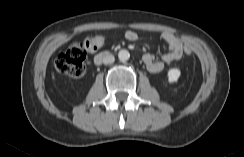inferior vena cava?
Listing matches in <instances>:
<instances>
[{
    "label": "inferior vena cava",
    "mask_w": 244,
    "mask_h": 157,
    "mask_svg": "<svg viewBox=\"0 0 244 157\" xmlns=\"http://www.w3.org/2000/svg\"><path fill=\"white\" fill-rule=\"evenodd\" d=\"M114 61H115V58H114V56L112 54H106L103 57V63L105 65L112 64Z\"/></svg>",
    "instance_id": "inferior-vena-cava-1"
}]
</instances>
